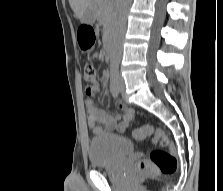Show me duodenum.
Returning a JSON list of instances; mask_svg holds the SVG:
<instances>
[{"mask_svg": "<svg viewBox=\"0 0 223 191\" xmlns=\"http://www.w3.org/2000/svg\"><path fill=\"white\" fill-rule=\"evenodd\" d=\"M111 52V38L110 35L107 34L104 39V53L109 55Z\"/></svg>", "mask_w": 223, "mask_h": 191, "instance_id": "obj_1", "label": "duodenum"}]
</instances>
